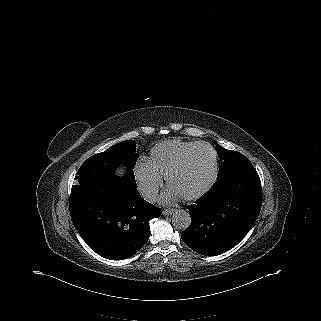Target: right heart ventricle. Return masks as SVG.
I'll list each match as a JSON object with an SVG mask.
<instances>
[{"mask_svg": "<svg viewBox=\"0 0 321 321\" xmlns=\"http://www.w3.org/2000/svg\"><path fill=\"white\" fill-rule=\"evenodd\" d=\"M196 144L197 142L182 140L162 141L153 146L148 161L158 175L166 176L168 171Z\"/></svg>", "mask_w": 321, "mask_h": 321, "instance_id": "obj_1", "label": "right heart ventricle"}]
</instances>
